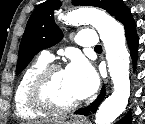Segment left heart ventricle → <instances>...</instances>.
<instances>
[{
	"label": "left heart ventricle",
	"mask_w": 145,
	"mask_h": 124,
	"mask_svg": "<svg viewBox=\"0 0 145 124\" xmlns=\"http://www.w3.org/2000/svg\"><path fill=\"white\" fill-rule=\"evenodd\" d=\"M49 91L55 102L60 105H68L78 101L66 77L65 71L56 72L52 76Z\"/></svg>",
	"instance_id": "1"
}]
</instances>
